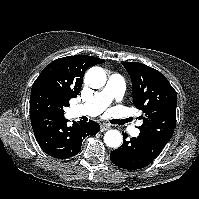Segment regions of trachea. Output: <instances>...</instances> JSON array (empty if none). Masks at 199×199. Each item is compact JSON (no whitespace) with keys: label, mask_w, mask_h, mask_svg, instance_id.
<instances>
[{"label":"trachea","mask_w":199,"mask_h":199,"mask_svg":"<svg viewBox=\"0 0 199 199\" xmlns=\"http://www.w3.org/2000/svg\"><path fill=\"white\" fill-rule=\"evenodd\" d=\"M129 120H124V121H122L121 123H125V122H128Z\"/></svg>","instance_id":"1"}]
</instances>
